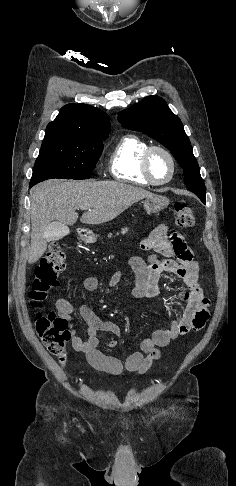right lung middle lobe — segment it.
Masks as SVG:
<instances>
[{
  "label": "right lung middle lobe",
  "instance_id": "1",
  "mask_svg": "<svg viewBox=\"0 0 236 486\" xmlns=\"http://www.w3.org/2000/svg\"><path fill=\"white\" fill-rule=\"evenodd\" d=\"M104 138L88 140L70 135L45 134L30 184L51 178H90L103 150L101 140Z\"/></svg>",
  "mask_w": 236,
  "mask_h": 486
}]
</instances>
